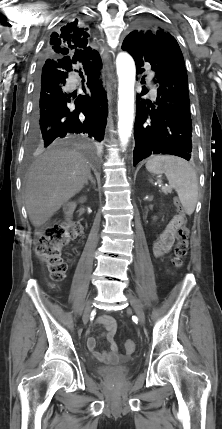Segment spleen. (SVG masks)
<instances>
[{
	"label": "spleen",
	"mask_w": 222,
	"mask_h": 429,
	"mask_svg": "<svg viewBox=\"0 0 222 429\" xmlns=\"http://www.w3.org/2000/svg\"><path fill=\"white\" fill-rule=\"evenodd\" d=\"M146 168L154 174H165L174 188L186 214L191 215L198 199V181L193 168L185 160L170 155L152 156Z\"/></svg>",
	"instance_id": "1"
}]
</instances>
